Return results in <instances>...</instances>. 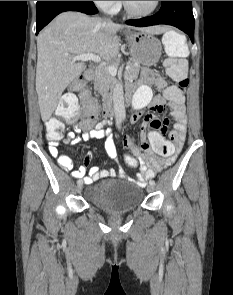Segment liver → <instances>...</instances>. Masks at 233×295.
Wrapping results in <instances>:
<instances>
[{
    "label": "liver",
    "instance_id": "liver-1",
    "mask_svg": "<svg viewBox=\"0 0 233 295\" xmlns=\"http://www.w3.org/2000/svg\"><path fill=\"white\" fill-rule=\"evenodd\" d=\"M123 28L163 33L165 27L137 28L115 24L81 12L59 14L37 38L36 92L41 118L50 119L66 87L86 69L71 57L96 53L104 60L119 52L117 32Z\"/></svg>",
    "mask_w": 233,
    "mask_h": 295
}]
</instances>
